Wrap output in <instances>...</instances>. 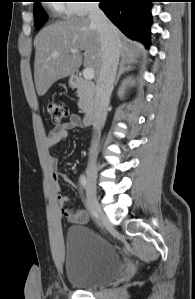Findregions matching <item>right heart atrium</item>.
Listing matches in <instances>:
<instances>
[{"label":"right heart atrium","mask_w":195,"mask_h":299,"mask_svg":"<svg viewBox=\"0 0 195 299\" xmlns=\"http://www.w3.org/2000/svg\"><path fill=\"white\" fill-rule=\"evenodd\" d=\"M92 0H71L65 5L67 6L68 14L87 15L91 10ZM62 4V3H61Z\"/></svg>","instance_id":"1"}]
</instances>
